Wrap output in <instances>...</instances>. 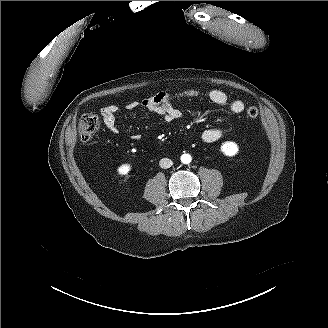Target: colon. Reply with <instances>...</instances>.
<instances>
[{
  "label": "colon",
  "mask_w": 328,
  "mask_h": 328,
  "mask_svg": "<svg viewBox=\"0 0 328 328\" xmlns=\"http://www.w3.org/2000/svg\"><path fill=\"white\" fill-rule=\"evenodd\" d=\"M246 114L251 119H256L259 115V110L255 106L247 109ZM99 119L93 114H84L79 120V134L82 141H89L99 129Z\"/></svg>",
  "instance_id": "obj_1"
}]
</instances>
